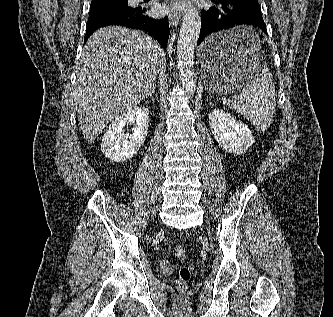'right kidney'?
Segmentation results:
<instances>
[{
    "label": "right kidney",
    "mask_w": 333,
    "mask_h": 317,
    "mask_svg": "<svg viewBox=\"0 0 333 317\" xmlns=\"http://www.w3.org/2000/svg\"><path fill=\"white\" fill-rule=\"evenodd\" d=\"M149 120V111L142 106L116 117L103 135L101 151L105 157L116 162L131 159L146 139ZM129 123H135L133 133L125 134L123 128Z\"/></svg>",
    "instance_id": "ca27d5eb"
}]
</instances>
